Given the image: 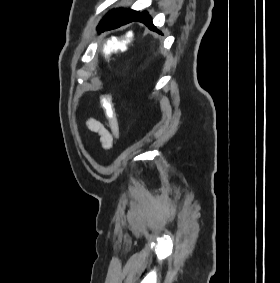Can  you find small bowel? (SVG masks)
Wrapping results in <instances>:
<instances>
[{
    "instance_id": "obj_1",
    "label": "small bowel",
    "mask_w": 280,
    "mask_h": 283,
    "mask_svg": "<svg viewBox=\"0 0 280 283\" xmlns=\"http://www.w3.org/2000/svg\"><path fill=\"white\" fill-rule=\"evenodd\" d=\"M87 127L90 131L99 136L100 143L104 149L111 148L114 139L116 138L113 126L108 122V128L99 120L90 118L87 121Z\"/></svg>"
}]
</instances>
